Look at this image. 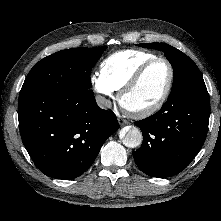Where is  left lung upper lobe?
<instances>
[{"label":"left lung upper lobe","mask_w":221,"mask_h":221,"mask_svg":"<svg viewBox=\"0 0 221 221\" xmlns=\"http://www.w3.org/2000/svg\"><path fill=\"white\" fill-rule=\"evenodd\" d=\"M140 47L163 51L173 67L174 80L171 95L187 90H206L203 77L191 58L165 43H144Z\"/></svg>","instance_id":"obj_1"}]
</instances>
